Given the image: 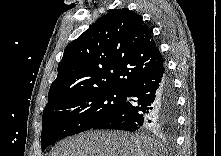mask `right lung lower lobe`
<instances>
[{"label": "right lung lower lobe", "instance_id": "obj_1", "mask_svg": "<svg viewBox=\"0 0 221 156\" xmlns=\"http://www.w3.org/2000/svg\"><path fill=\"white\" fill-rule=\"evenodd\" d=\"M126 95L125 103L93 129L136 131L143 127L175 128L177 98L165 65L134 82Z\"/></svg>", "mask_w": 221, "mask_h": 156}]
</instances>
